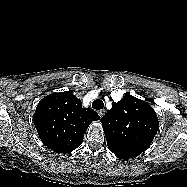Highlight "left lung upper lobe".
<instances>
[{
    "mask_svg": "<svg viewBox=\"0 0 187 187\" xmlns=\"http://www.w3.org/2000/svg\"><path fill=\"white\" fill-rule=\"evenodd\" d=\"M108 148L119 159L140 155L151 145L159 128L154 109L147 102L126 94L101 118Z\"/></svg>",
    "mask_w": 187,
    "mask_h": 187,
    "instance_id": "obj_1",
    "label": "left lung upper lobe"
}]
</instances>
